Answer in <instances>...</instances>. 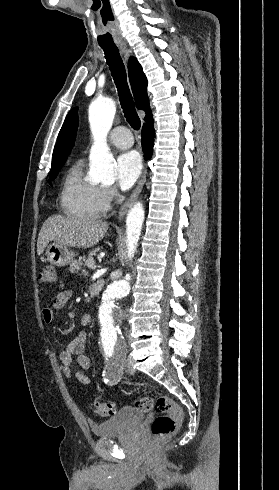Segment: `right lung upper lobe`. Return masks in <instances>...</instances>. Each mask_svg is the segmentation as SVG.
<instances>
[{"mask_svg": "<svg viewBox=\"0 0 279 490\" xmlns=\"http://www.w3.org/2000/svg\"><path fill=\"white\" fill-rule=\"evenodd\" d=\"M129 80L134 94L138 109L146 112L143 128L153 125L152 113L150 111L149 100L147 96V79L142 72V68L136 58L129 59ZM78 127L77 108H74L67 115L64 124L59 132L57 143L53 151V161L51 170L62 167L74 145L75 135Z\"/></svg>", "mask_w": 279, "mask_h": 490, "instance_id": "1", "label": "right lung upper lobe"}]
</instances>
